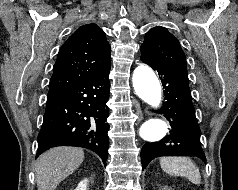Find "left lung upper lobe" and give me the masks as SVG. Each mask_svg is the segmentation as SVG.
Instances as JSON below:
<instances>
[{
	"instance_id": "5c2ea615",
	"label": "left lung upper lobe",
	"mask_w": 238,
	"mask_h": 190,
	"mask_svg": "<svg viewBox=\"0 0 238 190\" xmlns=\"http://www.w3.org/2000/svg\"><path fill=\"white\" fill-rule=\"evenodd\" d=\"M141 56L186 68V57L179 41L164 27H154L148 31L141 45Z\"/></svg>"
}]
</instances>
